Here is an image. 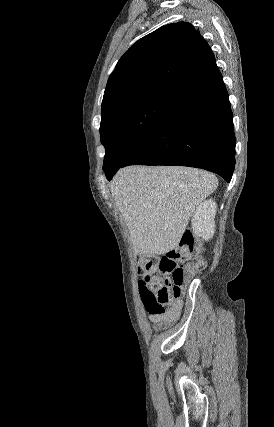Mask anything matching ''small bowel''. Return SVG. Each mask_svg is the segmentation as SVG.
I'll return each instance as SVG.
<instances>
[{
    "mask_svg": "<svg viewBox=\"0 0 274 427\" xmlns=\"http://www.w3.org/2000/svg\"><path fill=\"white\" fill-rule=\"evenodd\" d=\"M181 307V302L175 300L164 312L159 314H150V319L156 328H162L178 318Z\"/></svg>",
    "mask_w": 274,
    "mask_h": 427,
    "instance_id": "small-bowel-1",
    "label": "small bowel"
}]
</instances>
